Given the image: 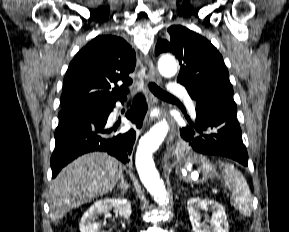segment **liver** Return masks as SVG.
<instances>
[{
    "label": "liver",
    "instance_id": "liver-1",
    "mask_svg": "<svg viewBox=\"0 0 289 232\" xmlns=\"http://www.w3.org/2000/svg\"><path fill=\"white\" fill-rule=\"evenodd\" d=\"M121 176V163L106 153L94 152L77 158L52 181L49 193L52 222L59 223L71 209L109 193Z\"/></svg>",
    "mask_w": 289,
    "mask_h": 232
}]
</instances>
